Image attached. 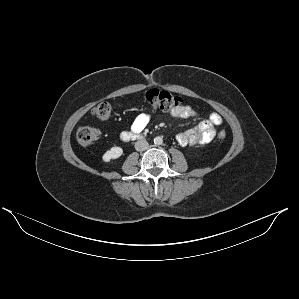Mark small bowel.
<instances>
[{
    "mask_svg": "<svg viewBox=\"0 0 299 299\" xmlns=\"http://www.w3.org/2000/svg\"><path fill=\"white\" fill-rule=\"evenodd\" d=\"M171 114L177 118H196L199 114L190 106L182 105L174 108ZM148 114H139L132 122L130 132L140 134L149 124ZM223 122L222 117L217 113H211L208 119L200 121L195 127L179 133L176 136L181 146H197L210 143L216 134V127Z\"/></svg>",
    "mask_w": 299,
    "mask_h": 299,
    "instance_id": "obj_1",
    "label": "small bowel"
}]
</instances>
